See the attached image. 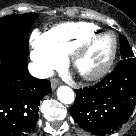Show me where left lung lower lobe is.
Segmentation results:
<instances>
[{
	"instance_id": "1",
	"label": "left lung lower lobe",
	"mask_w": 136,
	"mask_h": 136,
	"mask_svg": "<svg viewBox=\"0 0 136 136\" xmlns=\"http://www.w3.org/2000/svg\"><path fill=\"white\" fill-rule=\"evenodd\" d=\"M70 112L94 135L109 134L125 123L136 103V59H122L98 84L76 90Z\"/></svg>"
}]
</instances>
